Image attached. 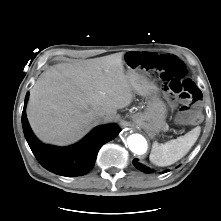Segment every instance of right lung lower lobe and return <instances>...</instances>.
<instances>
[{
  "instance_id": "1",
  "label": "right lung lower lobe",
  "mask_w": 221,
  "mask_h": 221,
  "mask_svg": "<svg viewBox=\"0 0 221 221\" xmlns=\"http://www.w3.org/2000/svg\"><path fill=\"white\" fill-rule=\"evenodd\" d=\"M29 98L26 94L25 104ZM22 125L26 140L38 162L47 170L62 176H81L94 166L101 146L114 139L120 132L116 124L98 126L80 142L69 147H55L41 143L33 134L25 106L22 112Z\"/></svg>"
}]
</instances>
